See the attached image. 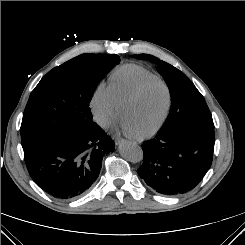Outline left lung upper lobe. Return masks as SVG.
I'll return each mask as SVG.
<instances>
[{"instance_id":"5c2ea615","label":"left lung upper lobe","mask_w":245,"mask_h":245,"mask_svg":"<svg viewBox=\"0 0 245 245\" xmlns=\"http://www.w3.org/2000/svg\"><path fill=\"white\" fill-rule=\"evenodd\" d=\"M134 57L155 63L158 72L168 85L171 108L160 131H166L181 121L198 122L214 128L212 115L205 99L183 72L149 54H139Z\"/></svg>"}]
</instances>
